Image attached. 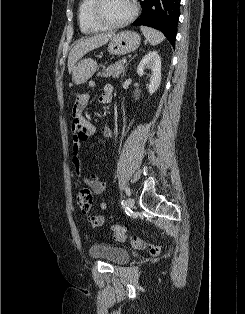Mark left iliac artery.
<instances>
[{"label": "left iliac artery", "mask_w": 245, "mask_h": 314, "mask_svg": "<svg viewBox=\"0 0 245 314\" xmlns=\"http://www.w3.org/2000/svg\"><path fill=\"white\" fill-rule=\"evenodd\" d=\"M125 192L129 196L131 194L130 188L129 187H125ZM121 204L124 205V200L121 201Z\"/></svg>", "instance_id": "1"}]
</instances>
